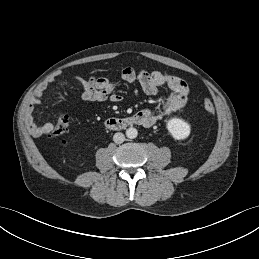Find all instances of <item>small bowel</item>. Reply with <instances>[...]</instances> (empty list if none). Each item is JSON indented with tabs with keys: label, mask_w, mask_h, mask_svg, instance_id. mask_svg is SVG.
<instances>
[{
	"label": "small bowel",
	"mask_w": 259,
	"mask_h": 259,
	"mask_svg": "<svg viewBox=\"0 0 259 259\" xmlns=\"http://www.w3.org/2000/svg\"><path fill=\"white\" fill-rule=\"evenodd\" d=\"M124 81L132 83L137 82L141 90L146 94H155L159 87H167L171 93L165 99L163 104L157 109H144L136 113L139 116L140 125L151 126L170 115L171 113L183 108L189 98L190 90L188 84L177 76L168 74L163 71L135 70L126 67L121 72ZM67 78L78 83L82 88L81 97L84 101L89 102H119L122 96L116 91L114 84L104 77L84 78L75 74H68ZM45 92V87H39L34 96L30 99L26 114L25 123L29 132L33 136L50 134L55 125L52 122L37 124L34 119V109L39 104L40 98Z\"/></svg>",
	"instance_id": "c3829d8e"
}]
</instances>
